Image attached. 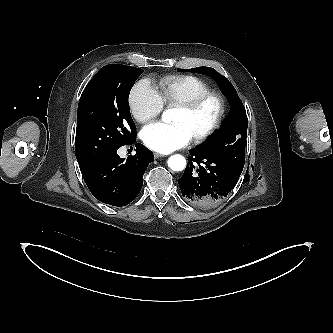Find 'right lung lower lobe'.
<instances>
[{"label":"right lung lower lobe","instance_id":"obj_1","mask_svg":"<svg viewBox=\"0 0 333 333\" xmlns=\"http://www.w3.org/2000/svg\"><path fill=\"white\" fill-rule=\"evenodd\" d=\"M134 142L135 137L128 144ZM117 150L80 167V170L85 183L97 200L122 207L129 204L140 192L144 172L154 160V156L140 143L136 144V154L129 156L127 160L120 158Z\"/></svg>","mask_w":333,"mask_h":333}]
</instances>
